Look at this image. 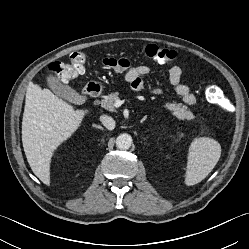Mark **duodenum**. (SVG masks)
Listing matches in <instances>:
<instances>
[{
	"mask_svg": "<svg viewBox=\"0 0 249 249\" xmlns=\"http://www.w3.org/2000/svg\"><path fill=\"white\" fill-rule=\"evenodd\" d=\"M101 93V88L98 84L91 82L88 83L83 89L82 94L88 98H97Z\"/></svg>",
	"mask_w": 249,
	"mask_h": 249,
	"instance_id": "1",
	"label": "duodenum"
}]
</instances>
